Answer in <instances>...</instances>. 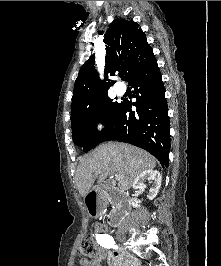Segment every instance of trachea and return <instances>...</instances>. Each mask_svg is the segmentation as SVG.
Returning <instances> with one entry per match:
<instances>
[{
  "label": "trachea",
  "instance_id": "trachea-1",
  "mask_svg": "<svg viewBox=\"0 0 221 266\" xmlns=\"http://www.w3.org/2000/svg\"><path fill=\"white\" fill-rule=\"evenodd\" d=\"M120 77H121V79H122L123 81L126 80V77H125L124 75H121Z\"/></svg>",
  "mask_w": 221,
  "mask_h": 266
}]
</instances>
